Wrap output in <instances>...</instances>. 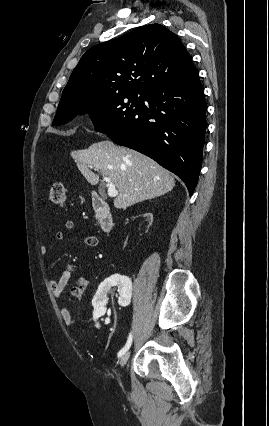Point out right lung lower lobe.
Segmentation results:
<instances>
[{"label":"right lung lower lobe","instance_id":"obj_1","mask_svg":"<svg viewBox=\"0 0 269 426\" xmlns=\"http://www.w3.org/2000/svg\"><path fill=\"white\" fill-rule=\"evenodd\" d=\"M145 104L107 132L115 143L139 151L179 176L192 195L202 165L207 109L198 72L153 87Z\"/></svg>","mask_w":269,"mask_h":426}]
</instances>
